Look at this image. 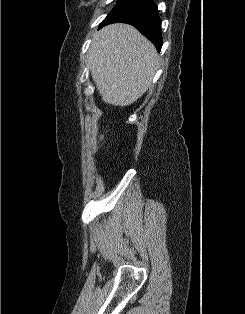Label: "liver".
I'll return each instance as SVG.
<instances>
[{
	"label": "liver",
	"mask_w": 245,
	"mask_h": 314,
	"mask_svg": "<svg viewBox=\"0 0 245 314\" xmlns=\"http://www.w3.org/2000/svg\"><path fill=\"white\" fill-rule=\"evenodd\" d=\"M87 58L102 99L117 106L133 104L148 90L159 61L154 45L133 26L122 23L97 32Z\"/></svg>",
	"instance_id": "1"
}]
</instances>
